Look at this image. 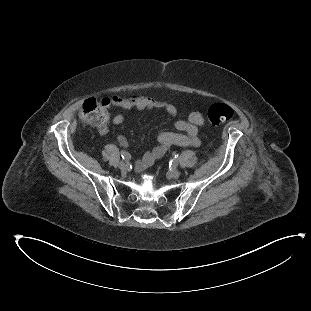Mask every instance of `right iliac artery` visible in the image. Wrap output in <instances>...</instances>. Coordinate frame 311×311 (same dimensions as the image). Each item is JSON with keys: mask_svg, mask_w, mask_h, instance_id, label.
Here are the masks:
<instances>
[{"mask_svg": "<svg viewBox=\"0 0 311 311\" xmlns=\"http://www.w3.org/2000/svg\"><path fill=\"white\" fill-rule=\"evenodd\" d=\"M121 156L125 161H129L131 159V155L125 150L121 151Z\"/></svg>", "mask_w": 311, "mask_h": 311, "instance_id": "right-iliac-artery-1", "label": "right iliac artery"}]
</instances>
